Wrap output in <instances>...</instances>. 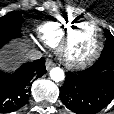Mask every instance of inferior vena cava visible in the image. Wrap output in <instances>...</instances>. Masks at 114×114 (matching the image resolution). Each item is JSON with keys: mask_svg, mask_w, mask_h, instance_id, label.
<instances>
[{"mask_svg": "<svg viewBox=\"0 0 114 114\" xmlns=\"http://www.w3.org/2000/svg\"><path fill=\"white\" fill-rule=\"evenodd\" d=\"M42 57V53L38 50L32 49L26 53V58L29 60H37Z\"/></svg>", "mask_w": 114, "mask_h": 114, "instance_id": "inferior-vena-cava-1", "label": "inferior vena cava"}]
</instances>
